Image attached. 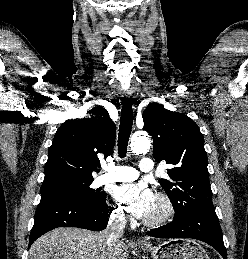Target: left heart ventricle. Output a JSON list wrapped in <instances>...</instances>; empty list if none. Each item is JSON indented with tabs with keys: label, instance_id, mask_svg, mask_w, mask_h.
I'll return each mask as SVG.
<instances>
[{
	"label": "left heart ventricle",
	"instance_id": "b2bd125f",
	"mask_svg": "<svg viewBox=\"0 0 248 259\" xmlns=\"http://www.w3.org/2000/svg\"><path fill=\"white\" fill-rule=\"evenodd\" d=\"M163 211V206L160 201H158L156 198L154 199V202L150 208V211L148 212L147 216L145 218H155L159 216Z\"/></svg>",
	"mask_w": 248,
	"mask_h": 259
}]
</instances>
